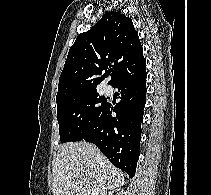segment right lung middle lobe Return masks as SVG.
I'll return each mask as SVG.
<instances>
[{
    "instance_id": "obj_1",
    "label": "right lung middle lobe",
    "mask_w": 211,
    "mask_h": 195,
    "mask_svg": "<svg viewBox=\"0 0 211 195\" xmlns=\"http://www.w3.org/2000/svg\"><path fill=\"white\" fill-rule=\"evenodd\" d=\"M108 102L97 91L69 99L57 105L61 142L80 141L98 120Z\"/></svg>"
}]
</instances>
